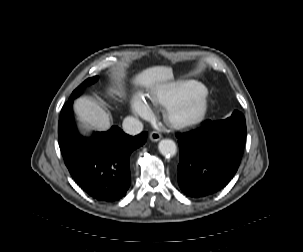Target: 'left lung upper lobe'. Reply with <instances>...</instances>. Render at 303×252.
I'll list each match as a JSON object with an SVG mask.
<instances>
[{"instance_id":"1","label":"left lung upper lobe","mask_w":303,"mask_h":252,"mask_svg":"<svg viewBox=\"0 0 303 252\" xmlns=\"http://www.w3.org/2000/svg\"><path fill=\"white\" fill-rule=\"evenodd\" d=\"M225 121H230V122H245V118L242 113L239 111H234L231 117L225 119Z\"/></svg>"}]
</instances>
